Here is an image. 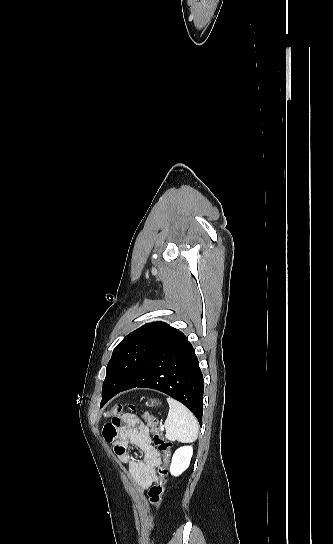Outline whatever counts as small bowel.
<instances>
[{
    "label": "small bowel",
    "instance_id": "obj_1",
    "mask_svg": "<svg viewBox=\"0 0 333 544\" xmlns=\"http://www.w3.org/2000/svg\"><path fill=\"white\" fill-rule=\"evenodd\" d=\"M105 440L114 445L118 459L128 467L134 483L141 489H149L157 480L156 468L161 464L160 453L152 446L149 430L136 416L125 414L114 417L103 427ZM128 443L143 452L142 459H134Z\"/></svg>",
    "mask_w": 333,
    "mask_h": 544
}]
</instances>
